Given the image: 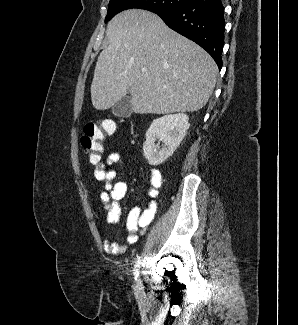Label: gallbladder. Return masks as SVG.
<instances>
[{"label":"gallbladder","mask_w":298,"mask_h":325,"mask_svg":"<svg viewBox=\"0 0 298 325\" xmlns=\"http://www.w3.org/2000/svg\"><path fill=\"white\" fill-rule=\"evenodd\" d=\"M112 112L115 114V116H130V96H122L121 100H118L116 104H113Z\"/></svg>","instance_id":"1"}]
</instances>
